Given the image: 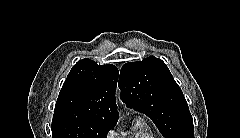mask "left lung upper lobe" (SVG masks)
Wrapping results in <instances>:
<instances>
[{
	"mask_svg": "<svg viewBox=\"0 0 240 138\" xmlns=\"http://www.w3.org/2000/svg\"><path fill=\"white\" fill-rule=\"evenodd\" d=\"M119 87L126 106L146 114L165 138H194L186 99L162 60L150 56L124 64Z\"/></svg>",
	"mask_w": 240,
	"mask_h": 138,
	"instance_id": "left-lung-upper-lobe-1",
	"label": "left lung upper lobe"
}]
</instances>
